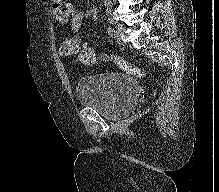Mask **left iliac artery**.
<instances>
[{
    "instance_id": "left-iliac-artery-1",
    "label": "left iliac artery",
    "mask_w": 219,
    "mask_h": 192,
    "mask_svg": "<svg viewBox=\"0 0 219 192\" xmlns=\"http://www.w3.org/2000/svg\"><path fill=\"white\" fill-rule=\"evenodd\" d=\"M106 31L109 35H111V36L113 35L112 28L108 27V28H106Z\"/></svg>"
}]
</instances>
